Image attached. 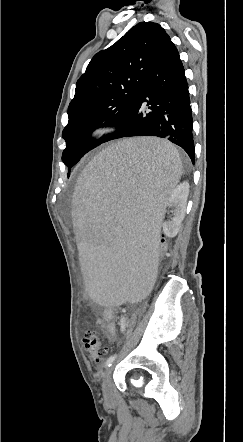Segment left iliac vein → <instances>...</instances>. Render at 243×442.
I'll return each instance as SVG.
<instances>
[{"mask_svg":"<svg viewBox=\"0 0 243 442\" xmlns=\"http://www.w3.org/2000/svg\"><path fill=\"white\" fill-rule=\"evenodd\" d=\"M112 372L113 367H109L103 376L102 392L106 403H110L113 400V388L111 383Z\"/></svg>","mask_w":243,"mask_h":442,"instance_id":"1","label":"left iliac vein"}]
</instances>
